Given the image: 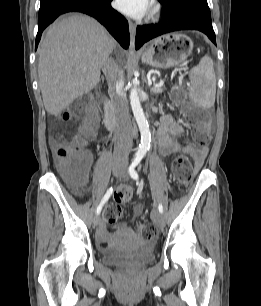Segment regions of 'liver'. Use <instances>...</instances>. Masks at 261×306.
I'll return each instance as SVG.
<instances>
[{"instance_id": "obj_1", "label": "liver", "mask_w": 261, "mask_h": 306, "mask_svg": "<svg viewBox=\"0 0 261 306\" xmlns=\"http://www.w3.org/2000/svg\"><path fill=\"white\" fill-rule=\"evenodd\" d=\"M115 40L95 19L74 14L52 24L39 51V86L46 111L60 114L100 81Z\"/></svg>"}]
</instances>
